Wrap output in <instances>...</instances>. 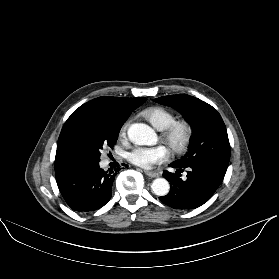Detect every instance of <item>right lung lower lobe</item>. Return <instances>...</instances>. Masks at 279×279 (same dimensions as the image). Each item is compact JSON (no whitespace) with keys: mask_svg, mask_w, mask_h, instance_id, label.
I'll use <instances>...</instances> for the list:
<instances>
[{"mask_svg":"<svg viewBox=\"0 0 279 279\" xmlns=\"http://www.w3.org/2000/svg\"><path fill=\"white\" fill-rule=\"evenodd\" d=\"M118 168L105 172L99 162H73L55 169L58 188L75 211L90 212L111 198V187Z\"/></svg>","mask_w":279,"mask_h":279,"instance_id":"right-lung-lower-lobe-1","label":"right lung lower lobe"}]
</instances>
